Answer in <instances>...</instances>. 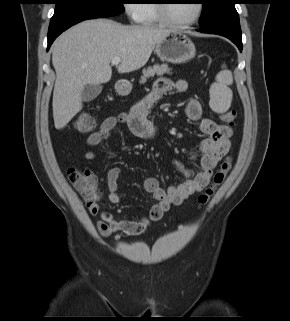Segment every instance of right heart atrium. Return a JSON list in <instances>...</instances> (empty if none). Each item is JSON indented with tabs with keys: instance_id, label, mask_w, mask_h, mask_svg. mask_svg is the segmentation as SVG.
Masks as SVG:
<instances>
[{
	"instance_id": "1",
	"label": "right heart atrium",
	"mask_w": 290,
	"mask_h": 321,
	"mask_svg": "<svg viewBox=\"0 0 290 321\" xmlns=\"http://www.w3.org/2000/svg\"><path fill=\"white\" fill-rule=\"evenodd\" d=\"M133 2V0H127L124 5V9L130 20L137 21L139 18V9L138 5L134 4Z\"/></svg>"
}]
</instances>
